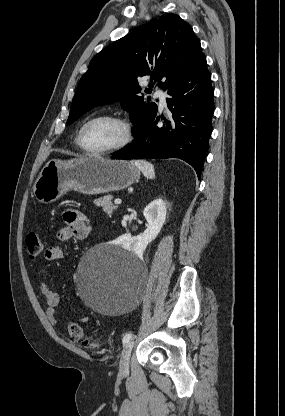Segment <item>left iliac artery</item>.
<instances>
[{
    "mask_svg": "<svg viewBox=\"0 0 285 416\" xmlns=\"http://www.w3.org/2000/svg\"><path fill=\"white\" fill-rule=\"evenodd\" d=\"M132 339H134V334H132V333H128V334H126L125 336H124V338H123V344H126V343H128L129 341H131Z\"/></svg>",
    "mask_w": 285,
    "mask_h": 416,
    "instance_id": "left-iliac-artery-1",
    "label": "left iliac artery"
}]
</instances>
